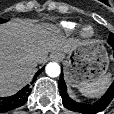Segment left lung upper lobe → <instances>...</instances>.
<instances>
[{"mask_svg":"<svg viewBox=\"0 0 114 114\" xmlns=\"http://www.w3.org/2000/svg\"><path fill=\"white\" fill-rule=\"evenodd\" d=\"M114 40V34L110 33L109 38H108V42H111V40Z\"/></svg>","mask_w":114,"mask_h":114,"instance_id":"1","label":"left lung upper lobe"}]
</instances>
